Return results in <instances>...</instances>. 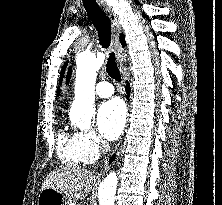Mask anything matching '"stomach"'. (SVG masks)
Wrapping results in <instances>:
<instances>
[{
  "label": "stomach",
  "instance_id": "obj_1",
  "mask_svg": "<svg viewBox=\"0 0 222 205\" xmlns=\"http://www.w3.org/2000/svg\"><path fill=\"white\" fill-rule=\"evenodd\" d=\"M38 205H70V200L62 192L46 188L38 196Z\"/></svg>",
  "mask_w": 222,
  "mask_h": 205
}]
</instances>
